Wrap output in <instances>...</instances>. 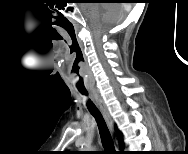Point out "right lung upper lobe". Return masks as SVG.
<instances>
[{
    "label": "right lung upper lobe",
    "instance_id": "1",
    "mask_svg": "<svg viewBox=\"0 0 188 154\" xmlns=\"http://www.w3.org/2000/svg\"><path fill=\"white\" fill-rule=\"evenodd\" d=\"M115 129H116V133H117V137H118L120 146H121V148H124V147H125V144L123 143V135H122V133L118 130L117 127H115Z\"/></svg>",
    "mask_w": 188,
    "mask_h": 154
}]
</instances>
